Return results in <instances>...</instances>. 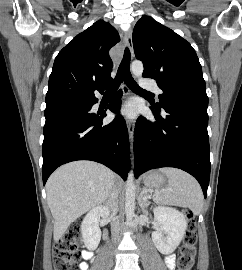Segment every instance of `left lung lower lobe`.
I'll return each instance as SVG.
<instances>
[{"label":"left lung lower lobe","instance_id":"left-lung-lower-lobe-1","mask_svg":"<svg viewBox=\"0 0 242 270\" xmlns=\"http://www.w3.org/2000/svg\"><path fill=\"white\" fill-rule=\"evenodd\" d=\"M153 110L156 122L139 117L134 130V174L175 167L193 175L204 196L210 178L207 106L197 104Z\"/></svg>","mask_w":242,"mask_h":270}]
</instances>
